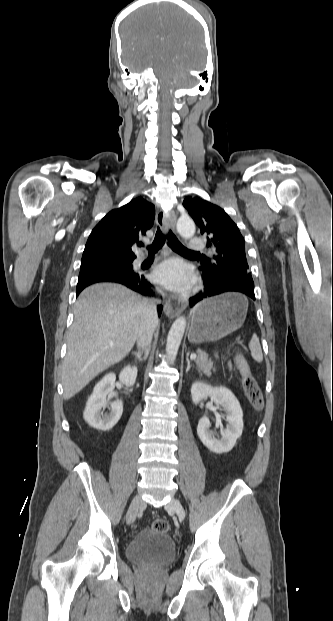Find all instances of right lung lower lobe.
<instances>
[{"label":"right lung lower lobe","mask_w":333,"mask_h":621,"mask_svg":"<svg viewBox=\"0 0 333 621\" xmlns=\"http://www.w3.org/2000/svg\"><path fill=\"white\" fill-rule=\"evenodd\" d=\"M99 282H115L125 285L126 287L145 296H155L152 291V285L140 274L133 269H118L113 267H95L81 269L76 288V295L87 286ZM158 314L160 316L162 305H158Z\"/></svg>","instance_id":"right-lung-lower-lobe-1"}]
</instances>
